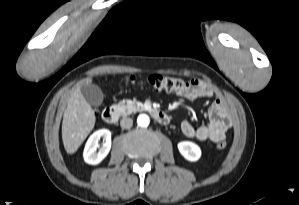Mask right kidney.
I'll return each mask as SVG.
<instances>
[{
    "instance_id": "ca27d5eb",
    "label": "right kidney",
    "mask_w": 299,
    "mask_h": 205,
    "mask_svg": "<svg viewBox=\"0 0 299 205\" xmlns=\"http://www.w3.org/2000/svg\"><path fill=\"white\" fill-rule=\"evenodd\" d=\"M103 138V144L100 147L99 141ZM111 148V132L108 129L95 131L87 140L83 157L86 163L91 165L99 164L109 153ZM97 149H99L97 151Z\"/></svg>"
}]
</instances>
